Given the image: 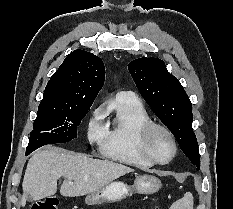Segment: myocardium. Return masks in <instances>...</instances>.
<instances>
[{"mask_svg": "<svg viewBox=\"0 0 233 209\" xmlns=\"http://www.w3.org/2000/svg\"><path fill=\"white\" fill-rule=\"evenodd\" d=\"M155 131H162L169 137L171 141L172 155L166 161H160L157 158H155L149 149V142H150L152 134ZM138 146H139V150L142 156L148 161H150L152 164H156V165L169 164L170 162L173 161V159L175 158L177 154V141H176V138L173 132L167 126L160 124V123L152 122V121L144 124L140 128L139 134H138Z\"/></svg>", "mask_w": 233, "mask_h": 209, "instance_id": "obj_1", "label": "myocardium"}]
</instances>
